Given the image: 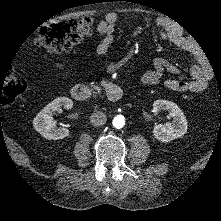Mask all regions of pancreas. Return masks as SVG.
Returning a JSON list of instances; mask_svg holds the SVG:
<instances>
[{
    "label": "pancreas",
    "mask_w": 221,
    "mask_h": 221,
    "mask_svg": "<svg viewBox=\"0 0 221 221\" xmlns=\"http://www.w3.org/2000/svg\"><path fill=\"white\" fill-rule=\"evenodd\" d=\"M88 90L90 91V94H93V93L99 92L101 89L99 88L98 85H95L94 88L88 87Z\"/></svg>",
    "instance_id": "cf45deb5"
}]
</instances>
